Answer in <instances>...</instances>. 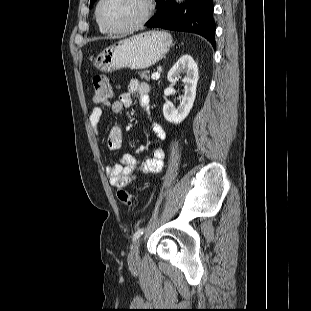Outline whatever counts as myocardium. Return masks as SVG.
I'll return each mask as SVG.
<instances>
[{
  "mask_svg": "<svg viewBox=\"0 0 311 311\" xmlns=\"http://www.w3.org/2000/svg\"><path fill=\"white\" fill-rule=\"evenodd\" d=\"M104 2H105V0H99L98 4L96 6V9H95L96 20H97L98 24L102 28H104L107 32L115 33V34L131 33V32H134V31L140 29L149 20L151 10H152L151 0H142L143 5H144V9H143V13H142L141 17L136 22H134L133 24H131L127 27L115 28V27L110 26L106 22H104V20L101 17V7H102Z\"/></svg>",
  "mask_w": 311,
  "mask_h": 311,
  "instance_id": "1",
  "label": "myocardium"
}]
</instances>
